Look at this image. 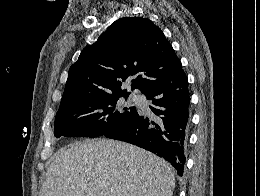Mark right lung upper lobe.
<instances>
[{
    "label": "right lung upper lobe",
    "instance_id": "cb5924a9",
    "mask_svg": "<svg viewBox=\"0 0 260 196\" xmlns=\"http://www.w3.org/2000/svg\"><path fill=\"white\" fill-rule=\"evenodd\" d=\"M181 70L180 60L159 27L147 18L123 17L85 47L70 67L59 110L96 94H129L121 86L131 76H136L132 89L143 91Z\"/></svg>",
    "mask_w": 260,
    "mask_h": 196
}]
</instances>
